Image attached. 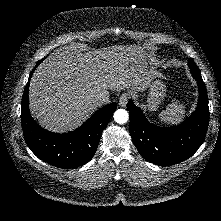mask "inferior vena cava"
Here are the masks:
<instances>
[{
  "label": "inferior vena cava",
  "instance_id": "1",
  "mask_svg": "<svg viewBox=\"0 0 221 221\" xmlns=\"http://www.w3.org/2000/svg\"><path fill=\"white\" fill-rule=\"evenodd\" d=\"M109 102H110L109 97L104 94L99 95L95 100V103L97 106H102V105L108 104Z\"/></svg>",
  "mask_w": 221,
  "mask_h": 221
}]
</instances>
